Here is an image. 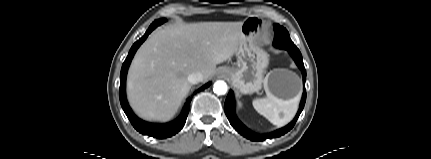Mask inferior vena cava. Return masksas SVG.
<instances>
[{
  "instance_id": "inferior-vena-cava-1",
  "label": "inferior vena cava",
  "mask_w": 431,
  "mask_h": 159,
  "mask_svg": "<svg viewBox=\"0 0 431 159\" xmlns=\"http://www.w3.org/2000/svg\"><path fill=\"white\" fill-rule=\"evenodd\" d=\"M204 79L203 74L200 71L193 72L188 76V81L190 84H197L202 82Z\"/></svg>"
}]
</instances>
